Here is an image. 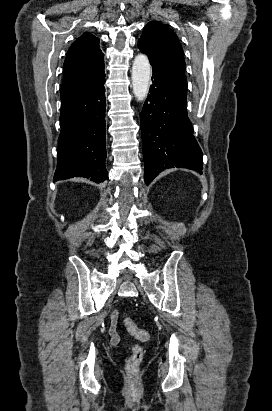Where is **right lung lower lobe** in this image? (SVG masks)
I'll list each match as a JSON object with an SVG mask.
<instances>
[{
	"mask_svg": "<svg viewBox=\"0 0 272 411\" xmlns=\"http://www.w3.org/2000/svg\"><path fill=\"white\" fill-rule=\"evenodd\" d=\"M105 77L94 87L61 99V132L55 181L86 177L108 179L105 167Z\"/></svg>",
	"mask_w": 272,
	"mask_h": 411,
	"instance_id": "1",
	"label": "right lung lower lobe"
}]
</instances>
